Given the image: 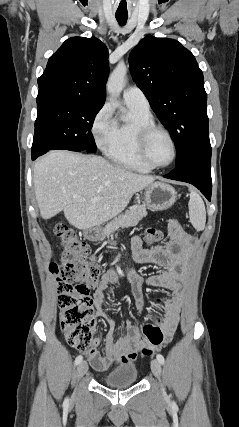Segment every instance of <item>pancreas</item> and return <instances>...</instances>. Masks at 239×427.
I'll return each instance as SVG.
<instances>
[{"label":"pancreas","instance_id":"pancreas-1","mask_svg":"<svg viewBox=\"0 0 239 427\" xmlns=\"http://www.w3.org/2000/svg\"><path fill=\"white\" fill-rule=\"evenodd\" d=\"M147 215L145 205H139L119 215L104 228V234L109 235L115 232L119 227H128L138 224V222Z\"/></svg>","mask_w":239,"mask_h":427}]
</instances>
